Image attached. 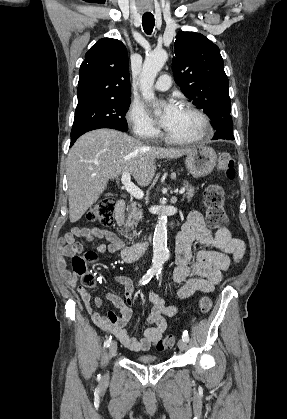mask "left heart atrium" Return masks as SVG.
<instances>
[{"instance_id":"39dd6f15","label":"left heart atrium","mask_w":287,"mask_h":419,"mask_svg":"<svg viewBox=\"0 0 287 419\" xmlns=\"http://www.w3.org/2000/svg\"><path fill=\"white\" fill-rule=\"evenodd\" d=\"M180 108L175 100H168L161 106L160 123L166 129L177 116Z\"/></svg>"}]
</instances>
